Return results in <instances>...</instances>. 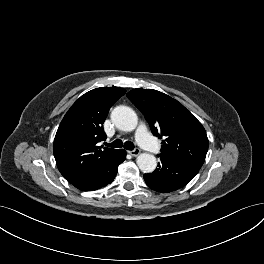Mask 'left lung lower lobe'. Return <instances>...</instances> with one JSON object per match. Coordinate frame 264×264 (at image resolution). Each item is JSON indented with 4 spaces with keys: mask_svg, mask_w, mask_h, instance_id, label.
Masks as SVG:
<instances>
[{
    "mask_svg": "<svg viewBox=\"0 0 264 264\" xmlns=\"http://www.w3.org/2000/svg\"><path fill=\"white\" fill-rule=\"evenodd\" d=\"M158 168L145 174L144 180L151 189L168 193L180 189L189 183L200 168L182 159L159 155Z\"/></svg>",
    "mask_w": 264,
    "mask_h": 264,
    "instance_id": "0a47b994",
    "label": "left lung lower lobe"
}]
</instances>
